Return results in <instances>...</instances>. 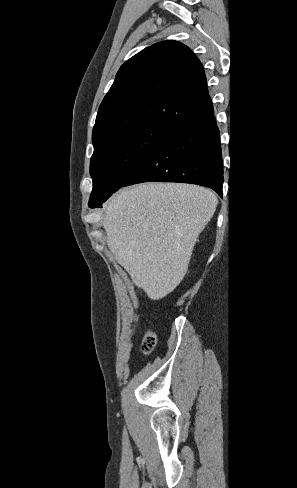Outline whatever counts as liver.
Listing matches in <instances>:
<instances>
[{"mask_svg": "<svg viewBox=\"0 0 297 488\" xmlns=\"http://www.w3.org/2000/svg\"><path fill=\"white\" fill-rule=\"evenodd\" d=\"M218 200L211 190L179 183L125 188L105 205L107 245L133 283L158 300L184 278L199 234Z\"/></svg>", "mask_w": 297, "mask_h": 488, "instance_id": "1", "label": "liver"}]
</instances>
